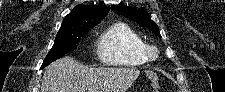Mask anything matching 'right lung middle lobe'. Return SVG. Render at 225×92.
<instances>
[{"instance_id":"dd1d6c3e","label":"right lung middle lobe","mask_w":225,"mask_h":92,"mask_svg":"<svg viewBox=\"0 0 225 92\" xmlns=\"http://www.w3.org/2000/svg\"><path fill=\"white\" fill-rule=\"evenodd\" d=\"M100 22L101 20L76 28L60 29L56 35L53 47L43 61L41 69H43L56 59L63 57L69 51L76 50L80 39L88 33L89 28L94 27Z\"/></svg>"}]
</instances>
